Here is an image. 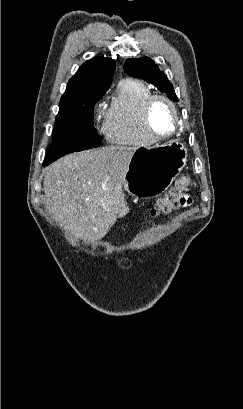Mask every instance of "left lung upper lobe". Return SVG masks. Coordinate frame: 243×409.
<instances>
[{
  "instance_id": "left-lung-upper-lobe-1",
  "label": "left lung upper lobe",
  "mask_w": 243,
  "mask_h": 409,
  "mask_svg": "<svg viewBox=\"0 0 243 409\" xmlns=\"http://www.w3.org/2000/svg\"><path fill=\"white\" fill-rule=\"evenodd\" d=\"M123 68L130 76L144 79L148 83L155 85L162 92H165L169 98L178 101L172 84L149 57L128 59Z\"/></svg>"
}]
</instances>
